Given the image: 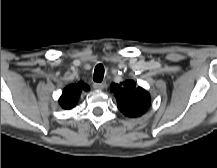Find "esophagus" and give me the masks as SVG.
<instances>
[{
	"label": "esophagus",
	"instance_id": "obj_1",
	"mask_svg": "<svg viewBox=\"0 0 217 168\" xmlns=\"http://www.w3.org/2000/svg\"><path fill=\"white\" fill-rule=\"evenodd\" d=\"M105 86H106V83L105 82H101V83H93V87H94V89H96V90H102V89H104L105 88Z\"/></svg>",
	"mask_w": 217,
	"mask_h": 168
}]
</instances>
